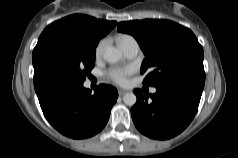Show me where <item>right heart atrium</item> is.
I'll return each instance as SVG.
<instances>
[{
	"instance_id": "right-heart-atrium-1",
	"label": "right heart atrium",
	"mask_w": 238,
	"mask_h": 158,
	"mask_svg": "<svg viewBox=\"0 0 238 158\" xmlns=\"http://www.w3.org/2000/svg\"><path fill=\"white\" fill-rule=\"evenodd\" d=\"M106 41L105 40H101L96 48H95V56L96 57H100L103 53L104 47H105Z\"/></svg>"
}]
</instances>
